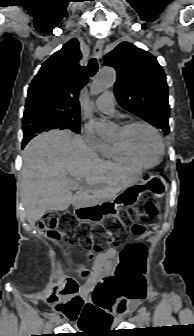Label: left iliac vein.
Instances as JSON below:
<instances>
[{"instance_id": "obj_1", "label": "left iliac vein", "mask_w": 194, "mask_h": 336, "mask_svg": "<svg viewBox=\"0 0 194 336\" xmlns=\"http://www.w3.org/2000/svg\"><path fill=\"white\" fill-rule=\"evenodd\" d=\"M136 319H137V321H138L139 323H141V324L144 322V318H143V316H142L141 313H139V314L136 316Z\"/></svg>"}]
</instances>
